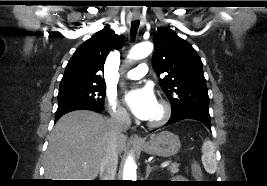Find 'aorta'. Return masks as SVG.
<instances>
[{"instance_id": "1", "label": "aorta", "mask_w": 267, "mask_h": 186, "mask_svg": "<svg viewBox=\"0 0 267 186\" xmlns=\"http://www.w3.org/2000/svg\"><path fill=\"white\" fill-rule=\"evenodd\" d=\"M153 50V45L150 42H142L135 45L129 54V59H142L148 56ZM137 174H136V165L134 160L129 157L125 163L124 170H123V180H132L136 181Z\"/></svg>"}]
</instances>
